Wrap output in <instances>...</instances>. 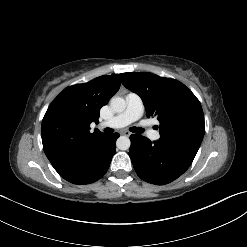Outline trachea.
Returning a JSON list of instances; mask_svg holds the SVG:
<instances>
[{
    "instance_id": "3493384b",
    "label": "trachea",
    "mask_w": 247,
    "mask_h": 247,
    "mask_svg": "<svg viewBox=\"0 0 247 247\" xmlns=\"http://www.w3.org/2000/svg\"><path fill=\"white\" fill-rule=\"evenodd\" d=\"M130 130H131L132 132H134V133H142V132L144 131V129L139 128V127H132ZM104 132H105V133H112V132H113V129H111V128H106V129H104Z\"/></svg>"
}]
</instances>
